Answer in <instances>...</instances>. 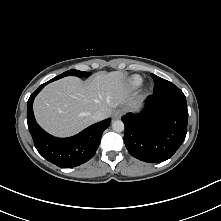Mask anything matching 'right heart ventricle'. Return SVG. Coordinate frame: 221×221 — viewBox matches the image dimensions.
<instances>
[{
	"label": "right heart ventricle",
	"mask_w": 221,
	"mask_h": 221,
	"mask_svg": "<svg viewBox=\"0 0 221 221\" xmlns=\"http://www.w3.org/2000/svg\"><path fill=\"white\" fill-rule=\"evenodd\" d=\"M142 83V78L138 75H134L130 78L129 80V85L132 88H137L141 85Z\"/></svg>",
	"instance_id": "1"
}]
</instances>
